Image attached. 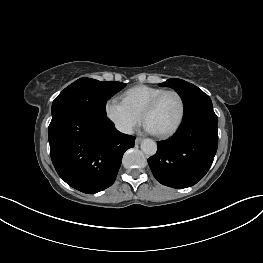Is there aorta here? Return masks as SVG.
<instances>
[{
	"label": "aorta",
	"mask_w": 263,
	"mask_h": 263,
	"mask_svg": "<svg viewBox=\"0 0 263 263\" xmlns=\"http://www.w3.org/2000/svg\"><path fill=\"white\" fill-rule=\"evenodd\" d=\"M141 150L148 156L155 155L157 151V144L152 139H144L141 143Z\"/></svg>",
	"instance_id": "aorta-1"
}]
</instances>
